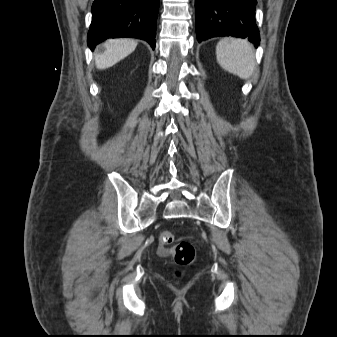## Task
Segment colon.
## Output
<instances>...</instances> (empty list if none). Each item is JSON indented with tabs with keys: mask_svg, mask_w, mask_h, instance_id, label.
Segmentation results:
<instances>
[{
	"mask_svg": "<svg viewBox=\"0 0 337 337\" xmlns=\"http://www.w3.org/2000/svg\"><path fill=\"white\" fill-rule=\"evenodd\" d=\"M173 234L168 230H162L158 235L159 250L161 253H172L178 264H188L195 258V250L191 243L182 241L172 246Z\"/></svg>",
	"mask_w": 337,
	"mask_h": 337,
	"instance_id": "colon-1",
	"label": "colon"
}]
</instances>
